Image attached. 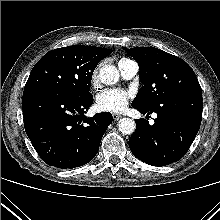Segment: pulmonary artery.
<instances>
[{
  "instance_id": "pulmonary-artery-1",
  "label": "pulmonary artery",
  "mask_w": 220,
  "mask_h": 220,
  "mask_svg": "<svg viewBox=\"0 0 220 220\" xmlns=\"http://www.w3.org/2000/svg\"><path fill=\"white\" fill-rule=\"evenodd\" d=\"M118 67L125 79L133 78L139 70L137 63L128 59L120 61Z\"/></svg>"
}]
</instances>
